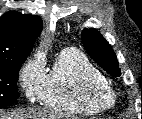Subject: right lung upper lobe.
<instances>
[{"label": "right lung upper lobe", "instance_id": "obj_1", "mask_svg": "<svg viewBox=\"0 0 142 119\" xmlns=\"http://www.w3.org/2000/svg\"><path fill=\"white\" fill-rule=\"evenodd\" d=\"M42 30L38 16L9 12L0 18V61L27 57Z\"/></svg>", "mask_w": 142, "mask_h": 119}]
</instances>
